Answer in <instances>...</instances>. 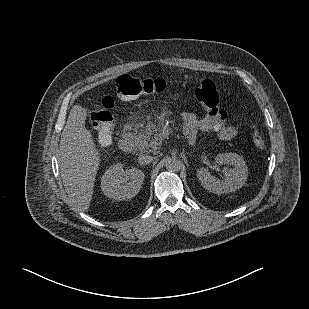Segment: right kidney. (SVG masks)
<instances>
[{
    "instance_id": "obj_1",
    "label": "right kidney",
    "mask_w": 309,
    "mask_h": 309,
    "mask_svg": "<svg viewBox=\"0 0 309 309\" xmlns=\"http://www.w3.org/2000/svg\"><path fill=\"white\" fill-rule=\"evenodd\" d=\"M144 173L132 168L124 171L123 164L114 163L101 177V190L105 196L115 200H126L138 194L144 181Z\"/></svg>"
}]
</instances>
